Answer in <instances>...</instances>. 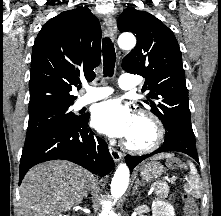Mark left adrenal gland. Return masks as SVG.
<instances>
[{
  "label": "left adrenal gland",
  "instance_id": "left-adrenal-gland-1",
  "mask_svg": "<svg viewBox=\"0 0 221 216\" xmlns=\"http://www.w3.org/2000/svg\"><path fill=\"white\" fill-rule=\"evenodd\" d=\"M140 185H141V183H140L139 179H136L135 186H134L133 191H132V195H134L136 193V191H137V189Z\"/></svg>",
  "mask_w": 221,
  "mask_h": 216
}]
</instances>
